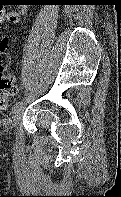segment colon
Instances as JSON below:
<instances>
[{"label": "colon", "mask_w": 121, "mask_h": 197, "mask_svg": "<svg viewBox=\"0 0 121 197\" xmlns=\"http://www.w3.org/2000/svg\"><path fill=\"white\" fill-rule=\"evenodd\" d=\"M16 93L13 76L0 65V109L7 108Z\"/></svg>", "instance_id": "colon-1"}]
</instances>
